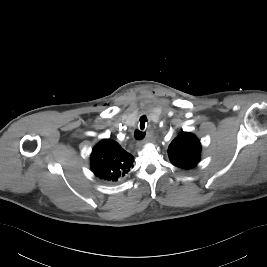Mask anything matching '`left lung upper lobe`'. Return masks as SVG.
<instances>
[{"label":"left lung upper lobe","mask_w":267,"mask_h":267,"mask_svg":"<svg viewBox=\"0 0 267 267\" xmlns=\"http://www.w3.org/2000/svg\"><path fill=\"white\" fill-rule=\"evenodd\" d=\"M201 144L191 133L180 132L168 147V156L171 163L184 170H189L200 161Z\"/></svg>","instance_id":"left-lung-upper-lobe-1"}]
</instances>
